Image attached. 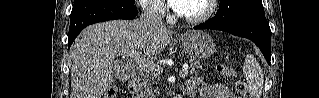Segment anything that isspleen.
Here are the masks:
<instances>
[{
	"label": "spleen",
	"mask_w": 319,
	"mask_h": 98,
	"mask_svg": "<svg viewBox=\"0 0 319 98\" xmlns=\"http://www.w3.org/2000/svg\"><path fill=\"white\" fill-rule=\"evenodd\" d=\"M243 75L248 82L251 94L255 98H260L263 88V72L256 58L251 54L245 56Z\"/></svg>",
	"instance_id": "3e777b00"
}]
</instances>
